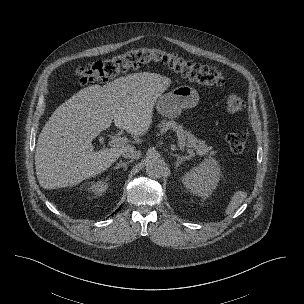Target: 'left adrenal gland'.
I'll return each mask as SVG.
<instances>
[{
  "mask_svg": "<svg viewBox=\"0 0 304 304\" xmlns=\"http://www.w3.org/2000/svg\"><path fill=\"white\" fill-rule=\"evenodd\" d=\"M177 158V161L175 162L176 164V169L181 165L185 160H188L190 157L189 156H180L179 154H172Z\"/></svg>",
  "mask_w": 304,
  "mask_h": 304,
  "instance_id": "1",
  "label": "left adrenal gland"
}]
</instances>
